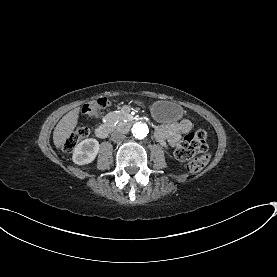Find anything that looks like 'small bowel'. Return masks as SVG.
<instances>
[{
    "label": "small bowel",
    "mask_w": 277,
    "mask_h": 277,
    "mask_svg": "<svg viewBox=\"0 0 277 277\" xmlns=\"http://www.w3.org/2000/svg\"><path fill=\"white\" fill-rule=\"evenodd\" d=\"M192 128V122L188 119H183L159 126L155 132V137L163 148L169 150L177 145L182 136L189 133Z\"/></svg>",
    "instance_id": "1"
}]
</instances>
